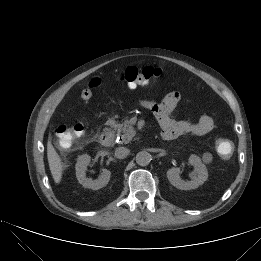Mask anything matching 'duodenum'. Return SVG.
<instances>
[{
	"label": "duodenum",
	"mask_w": 261,
	"mask_h": 261,
	"mask_svg": "<svg viewBox=\"0 0 261 261\" xmlns=\"http://www.w3.org/2000/svg\"><path fill=\"white\" fill-rule=\"evenodd\" d=\"M100 143L104 147H110L114 144V135L110 131H104L100 135Z\"/></svg>",
	"instance_id": "410a0bca"
}]
</instances>
